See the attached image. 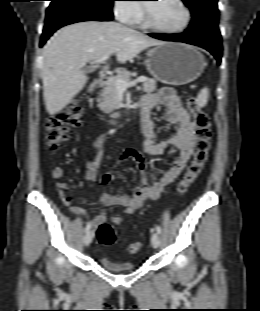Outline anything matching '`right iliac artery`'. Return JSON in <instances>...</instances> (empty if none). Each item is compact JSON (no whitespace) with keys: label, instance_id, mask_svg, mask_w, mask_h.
<instances>
[{"label":"right iliac artery","instance_id":"82829eb1","mask_svg":"<svg viewBox=\"0 0 260 311\" xmlns=\"http://www.w3.org/2000/svg\"><path fill=\"white\" fill-rule=\"evenodd\" d=\"M89 229H90V225L87 224L86 227H85V229H84V232L87 233V232L89 231Z\"/></svg>","mask_w":260,"mask_h":311}]
</instances>
